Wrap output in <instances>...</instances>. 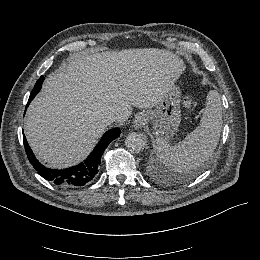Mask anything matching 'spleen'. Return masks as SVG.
I'll return each instance as SVG.
<instances>
[{
	"instance_id": "3e777b00",
	"label": "spleen",
	"mask_w": 260,
	"mask_h": 260,
	"mask_svg": "<svg viewBox=\"0 0 260 260\" xmlns=\"http://www.w3.org/2000/svg\"><path fill=\"white\" fill-rule=\"evenodd\" d=\"M221 127L220 96L218 92L211 90L207 94L199 125L174 146H171L166 139L157 138V156L166 166H173L178 171L197 168L216 148Z\"/></svg>"
}]
</instances>
